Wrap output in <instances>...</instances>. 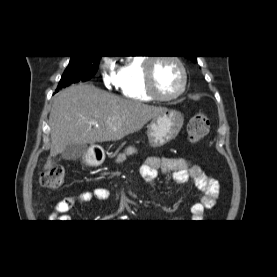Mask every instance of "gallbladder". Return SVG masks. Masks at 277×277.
<instances>
[{
  "instance_id": "1",
  "label": "gallbladder",
  "mask_w": 277,
  "mask_h": 277,
  "mask_svg": "<svg viewBox=\"0 0 277 277\" xmlns=\"http://www.w3.org/2000/svg\"><path fill=\"white\" fill-rule=\"evenodd\" d=\"M88 146L86 144H69L62 152L65 160H77L86 153Z\"/></svg>"
}]
</instances>
